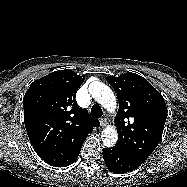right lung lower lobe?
Returning <instances> with one entry per match:
<instances>
[{
  "mask_svg": "<svg viewBox=\"0 0 187 187\" xmlns=\"http://www.w3.org/2000/svg\"><path fill=\"white\" fill-rule=\"evenodd\" d=\"M79 152H80V151H79ZM79 152L75 155V157H74V159L72 160L71 163H73V162L77 159V157H78V155H79ZM71 163H70V164H71ZM70 164H69V165H70ZM67 166H68V165H67Z\"/></svg>",
  "mask_w": 187,
  "mask_h": 187,
  "instance_id": "obj_1",
  "label": "right lung lower lobe"
}]
</instances>
